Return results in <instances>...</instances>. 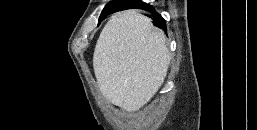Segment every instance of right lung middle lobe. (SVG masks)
<instances>
[{
    "mask_svg": "<svg viewBox=\"0 0 257 130\" xmlns=\"http://www.w3.org/2000/svg\"><path fill=\"white\" fill-rule=\"evenodd\" d=\"M128 2H130V1H127V0H113V1L109 2L106 5V7L103 9L99 20L103 19L107 14H109L113 11H116L119 8L123 7Z\"/></svg>",
    "mask_w": 257,
    "mask_h": 130,
    "instance_id": "1",
    "label": "right lung middle lobe"
}]
</instances>
